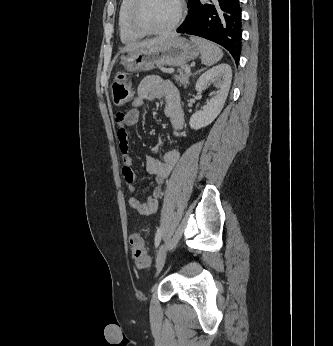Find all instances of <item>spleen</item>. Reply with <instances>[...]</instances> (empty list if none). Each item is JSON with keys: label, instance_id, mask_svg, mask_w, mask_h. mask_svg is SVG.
Returning a JSON list of instances; mask_svg holds the SVG:
<instances>
[{"label": "spleen", "instance_id": "spleen-1", "mask_svg": "<svg viewBox=\"0 0 333 346\" xmlns=\"http://www.w3.org/2000/svg\"><path fill=\"white\" fill-rule=\"evenodd\" d=\"M190 39L198 46L201 53V60L205 65L211 66L222 58V50L214 43L194 36Z\"/></svg>", "mask_w": 333, "mask_h": 346}]
</instances>
